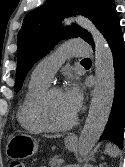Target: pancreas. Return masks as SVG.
Wrapping results in <instances>:
<instances>
[{
	"mask_svg": "<svg viewBox=\"0 0 125 167\" xmlns=\"http://www.w3.org/2000/svg\"><path fill=\"white\" fill-rule=\"evenodd\" d=\"M59 160H61L58 156H54L53 158H50L49 165L51 167H60Z\"/></svg>",
	"mask_w": 125,
	"mask_h": 167,
	"instance_id": "pancreas-1",
	"label": "pancreas"
}]
</instances>
